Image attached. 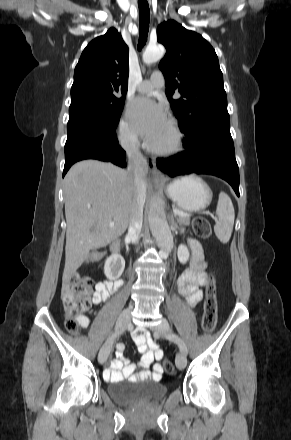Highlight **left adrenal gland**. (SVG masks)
Listing matches in <instances>:
<instances>
[{
  "instance_id": "obj_1",
  "label": "left adrenal gland",
  "mask_w": 291,
  "mask_h": 440,
  "mask_svg": "<svg viewBox=\"0 0 291 440\" xmlns=\"http://www.w3.org/2000/svg\"><path fill=\"white\" fill-rule=\"evenodd\" d=\"M171 223H172V225H173L174 227H176V228L178 227V226H177V223H176L175 220H174V217L171 218Z\"/></svg>"
}]
</instances>
